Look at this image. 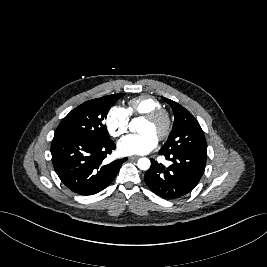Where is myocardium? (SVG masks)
<instances>
[{"label": "myocardium", "mask_w": 267, "mask_h": 267, "mask_svg": "<svg viewBox=\"0 0 267 267\" xmlns=\"http://www.w3.org/2000/svg\"><path fill=\"white\" fill-rule=\"evenodd\" d=\"M144 119L151 123L161 125V129L157 135V138L159 140H164L165 138H167L172 130V117L170 113L163 108H159L147 113L146 115H144Z\"/></svg>", "instance_id": "myocardium-1"}]
</instances>
